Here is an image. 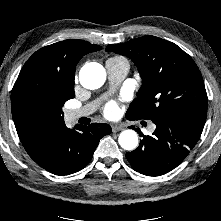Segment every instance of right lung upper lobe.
<instances>
[{"mask_svg":"<svg viewBox=\"0 0 221 221\" xmlns=\"http://www.w3.org/2000/svg\"><path fill=\"white\" fill-rule=\"evenodd\" d=\"M101 47L83 40H65L45 46L35 52L22 69L30 67L57 71L59 74L74 80L75 66L87 53L99 51ZM18 136L24 139L39 126L26 124L14 119Z\"/></svg>","mask_w":221,"mask_h":221,"instance_id":"1","label":"right lung upper lobe"}]
</instances>
